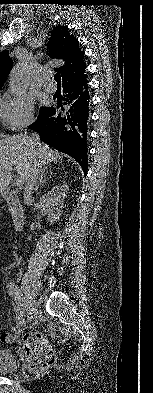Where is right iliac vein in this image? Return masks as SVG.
Returning a JSON list of instances; mask_svg holds the SVG:
<instances>
[{"label": "right iliac vein", "mask_w": 153, "mask_h": 393, "mask_svg": "<svg viewBox=\"0 0 153 393\" xmlns=\"http://www.w3.org/2000/svg\"><path fill=\"white\" fill-rule=\"evenodd\" d=\"M25 295H26V298H27V303H28V305H29V309H34V306H35V300L30 296V293L27 291V290H25ZM27 306V305H26Z\"/></svg>", "instance_id": "obj_1"}]
</instances>
